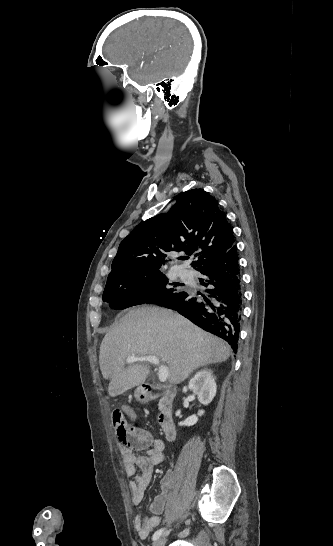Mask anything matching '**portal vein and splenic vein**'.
<instances>
[{
    "instance_id": "obj_1",
    "label": "portal vein and splenic vein",
    "mask_w": 333,
    "mask_h": 546,
    "mask_svg": "<svg viewBox=\"0 0 333 546\" xmlns=\"http://www.w3.org/2000/svg\"><path fill=\"white\" fill-rule=\"evenodd\" d=\"M126 362L129 364V363H134V362H149V363H152L154 365H157L159 370H158V377H159V380L160 382H165L168 378V368L167 366H163V365H160V360L157 356H152V355H149V356H136V355H132V356H129L126 360Z\"/></svg>"
}]
</instances>
